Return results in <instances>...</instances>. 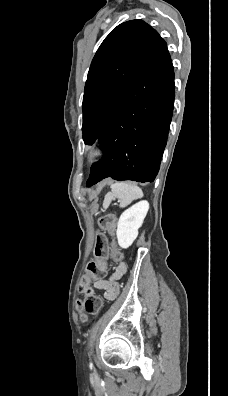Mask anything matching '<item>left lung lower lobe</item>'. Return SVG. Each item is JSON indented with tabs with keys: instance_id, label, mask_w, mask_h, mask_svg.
Instances as JSON below:
<instances>
[{
	"instance_id": "1",
	"label": "left lung lower lobe",
	"mask_w": 228,
	"mask_h": 396,
	"mask_svg": "<svg viewBox=\"0 0 228 396\" xmlns=\"http://www.w3.org/2000/svg\"><path fill=\"white\" fill-rule=\"evenodd\" d=\"M174 96L173 65L160 37L98 136L105 156L92 165L88 187L107 177L154 181L168 138Z\"/></svg>"
}]
</instances>
